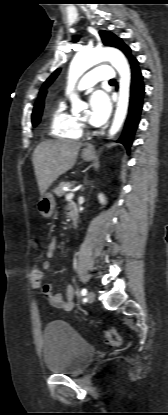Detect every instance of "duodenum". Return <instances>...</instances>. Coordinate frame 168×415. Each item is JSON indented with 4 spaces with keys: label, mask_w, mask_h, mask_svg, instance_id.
Returning <instances> with one entry per match:
<instances>
[{
    "label": "duodenum",
    "mask_w": 168,
    "mask_h": 415,
    "mask_svg": "<svg viewBox=\"0 0 168 415\" xmlns=\"http://www.w3.org/2000/svg\"><path fill=\"white\" fill-rule=\"evenodd\" d=\"M68 214H69V218L72 224V227L75 229L78 225V214H77V210L74 206H69L68 207Z\"/></svg>",
    "instance_id": "410a0bca"
}]
</instances>
